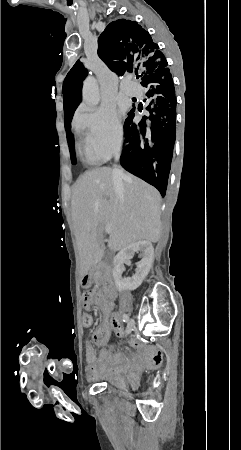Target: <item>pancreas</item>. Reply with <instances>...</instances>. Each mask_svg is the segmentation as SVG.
<instances>
[{
    "label": "pancreas",
    "mask_w": 241,
    "mask_h": 450,
    "mask_svg": "<svg viewBox=\"0 0 241 450\" xmlns=\"http://www.w3.org/2000/svg\"><path fill=\"white\" fill-rule=\"evenodd\" d=\"M97 284H98V286H99V284H101V282H97Z\"/></svg>",
    "instance_id": "cf45deb5"
}]
</instances>
